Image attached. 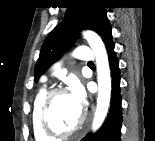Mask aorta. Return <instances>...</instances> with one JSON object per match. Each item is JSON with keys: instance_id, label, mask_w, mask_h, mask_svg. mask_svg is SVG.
Wrapping results in <instances>:
<instances>
[{"instance_id": "762f6f07", "label": "aorta", "mask_w": 155, "mask_h": 141, "mask_svg": "<svg viewBox=\"0 0 155 141\" xmlns=\"http://www.w3.org/2000/svg\"><path fill=\"white\" fill-rule=\"evenodd\" d=\"M84 38L94 51L97 65L98 98L92 130L100 128L107 115L111 99V74L108 55L101 38L93 31H85Z\"/></svg>"}]
</instances>
